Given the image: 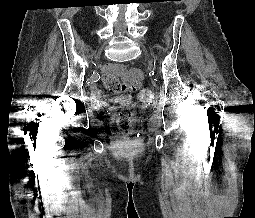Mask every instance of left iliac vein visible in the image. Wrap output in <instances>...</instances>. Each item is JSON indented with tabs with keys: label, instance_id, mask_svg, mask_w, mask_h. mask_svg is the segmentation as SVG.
<instances>
[{
	"label": "left iliac vein",
	"instance_id": "4c4485c4",
	"mask_svg": "<svg viewBox=\"0 0 255 218\" xmlns=\"http://www.w3.org/2000/svg\"><path fill=\"white\" fill-rule=\"evenodd\" d=\"M149 65L152 66V62H149Z\"/></svg>",
	"mask_w": 255,
	"mask_h": 218
}]
</instances>
